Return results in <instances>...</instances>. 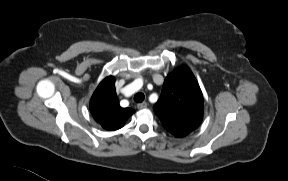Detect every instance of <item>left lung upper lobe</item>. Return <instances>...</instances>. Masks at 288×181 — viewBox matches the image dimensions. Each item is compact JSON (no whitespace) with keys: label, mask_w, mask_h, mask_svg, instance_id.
I'll return each instance as SVG.
<instances>
[{"label":"left lung upper lobe","mask_w":288,"mask_h":181,"mask_svg":"<svg viewBox=\"0 0 288 181\" xmlns=\"http://www.w3.org/2000/svg\"><path fill=\"white\" fill-rule=\"evenodd\" d=\"M153 109L163 127L175 137H184L200 125L203 95L188 67L177 68L166 77Z\"/></svg>","instance_id":"left-lung-upper-lobe-1"}]
</instances>
